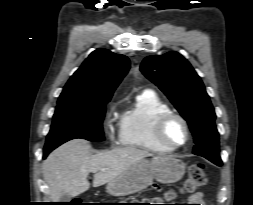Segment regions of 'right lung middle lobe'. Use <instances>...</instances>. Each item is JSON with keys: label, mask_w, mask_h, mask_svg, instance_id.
Wrapping results in <instances>:
<instances>
[{"label": "right lung middle lobe", "mask_w": 253, "mask_h": 205, "mask_svg": "<svg viewBox=\"0 0 253 205\" xmlns=\"http://www.w3.org/2000/svg\"><path fill=\"white\" fill-rule=\"evenodd\" d=\"M109 100L94 103H58L44 150L54 149L75 138L103 141L105 138L102 121L105 105Z\"/></svg>", "instance_id": "1"}]
</instances>
